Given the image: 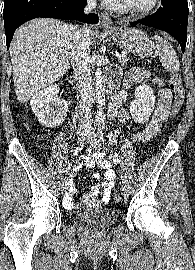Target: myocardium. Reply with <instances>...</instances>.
I'll return each mask as SVG.
<instances>
[{
    "label": "myocardium",
    "mask_w": 195,
    "mask_h": 270,
    "mask_svg": "<svg viewBox=\"0 0 195 270\" xmlns=\"http://www.w3.org/2000/svg\"><path fill=\"white\" fill-rule=\"evenodd\" d=\"M119 9L122 12H127L136 16H144L152 13L159 6L160 0H153L152 3L145 8H134L129 5L125 0H117Z\"/></svg>",
    "instance_id": "1"
}]
</instances>
